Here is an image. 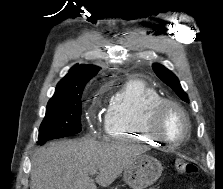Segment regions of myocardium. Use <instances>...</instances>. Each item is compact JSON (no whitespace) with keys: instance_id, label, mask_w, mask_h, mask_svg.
<instances>
[{"instance_id":"obj_1","label":"myocardium","mask_w":223,"mask_h":189,"mask_svg":"<svg viewBox=\"0 0 223 189\" xmlns=\"http://www.w3.org/2000/svg\"><path fill=\"white\" fill-rule=\"evenodd\" d=\"M172 107L176 109L183 118L185 129L184 134L181 139L176 142L168 141L160 132V120L164 112L169 108ZM146 130L148 133L154 137L155 139L159 140L161 143L166 144L169 147H178L182 143H184L187 138L190 136L191 133V123L189 116L186 110L180 105L178 102L167 99L161 98L158 102H156L147 113L146 118Z\"/></svg>"}]
</instances>
